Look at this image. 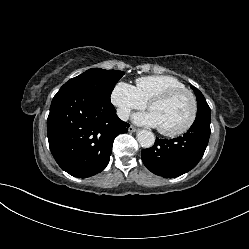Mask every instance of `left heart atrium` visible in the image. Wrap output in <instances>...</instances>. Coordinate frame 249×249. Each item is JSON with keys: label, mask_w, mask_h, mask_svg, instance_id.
I'll list each match as a JSON object with an SVG mask.
<instances>
[{"label": "left heart atrium", "mask_w": 249, "mask_h": 249, "mask_svg": "<svg viewBox=\"0 0 249 249\" xmlns=\"http://www.w3.org/2000/svg\"><path fill=\"white\" fill-rule=\"evenodd\" d=\"M134 120L140 124L158 127V121L152 112L136 115Z\"/></svg>", "instance_id": "obj_1"}]
</instances>
